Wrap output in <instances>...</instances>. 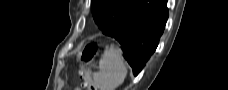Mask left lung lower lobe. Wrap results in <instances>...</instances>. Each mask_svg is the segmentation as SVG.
I'll use <instances>...</instances> for the list:
<instances>
[{"mask_svg": "<svg viewBox=\"0 0 228 90\" xmlns=\"http://www.w3.org/2000/svg\"><path fill=\"white\" fill-rule=\"evenodd\" d=\"M167 18L166 0H133L130 10L102 32L121 44L125 59L137 75L155 51Z\"/></svg>", "mask_w": 228, "mask_h": 90, "instance_id": "left-lung-lower-lobe-1", "label": "left lung lower lobe"}]
</instances>
